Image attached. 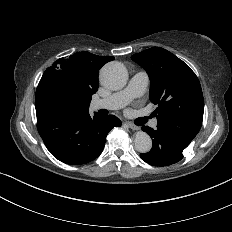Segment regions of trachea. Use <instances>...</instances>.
Listing matches in <instances>:
<instances>
[{
	"label": "trachea",
	"instance_id": "trachea-1",
	"mask_svg": "<svg viewBox=\"0 0 232 232\" xmlns=\"http://www.w3.org/2000/svg\"><path fill=\"white\" fill-rule=\"evenodd\" d=\"M150 118H152V117H151V116H149V117H144V121L147 122L148 119H150Z\"/></svg>",
	"mask_w": 232,
	"mask_h": 232
}]
</instances>
